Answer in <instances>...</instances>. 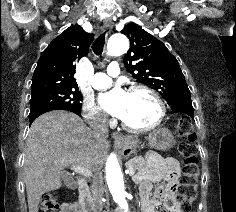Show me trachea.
<instances>
[{"instance_id":"trachea-1","label":"trachea","mask_w":236,"mask_h":212,"mask_svg":"<svg viewBox=\"0 0 236 212\" xmlns=\"http://www.w3.org/2000/svg\"><path fill=\"white\" fill-rule=\"evenodd\" d=\"M104 44H105V32L100 34L92 44V50L97 56H100L102 54Z\"/></svg>"}]
</instances>
